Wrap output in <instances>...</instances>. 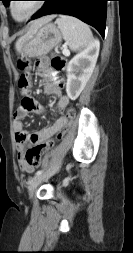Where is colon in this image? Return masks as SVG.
Segmentation results:
<instances>
[{"instance_id": "1", "label": "colon", "mask_w": 133, "mask_h": 253, "mask_svg": "<svg viewBox=\"0 0 133 253\" xmlns=\"http://www.w3.org/2000/svg\"><path fill=\"white\" fill-rule=\"evenodd\" d=\"M50 64L52 69L59 73L62 72L66 67V60L64 57L53 54L50 57ZM18 67L20 70L23 71V73L20 75L18 80V88L21 94V97H30L31 92V82H30V65L25 60H20L18 62ZM28 95V96H27ZM76 116V110L73 107H69L66 111L65 117L67 119L66 124L58 131L57 138L60 139L64 133L68 130L70 125H74L75 122H77ZM54 140L50 139L44 142L43 144L29 149L26 153V160L29 165H31L34 168H37L41 164V159L44 153L52 146Z\"/></svg>"}]
</instances>
